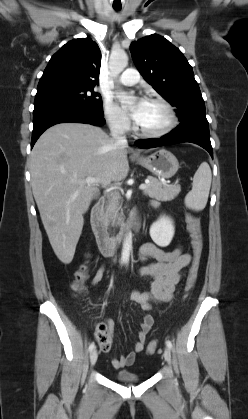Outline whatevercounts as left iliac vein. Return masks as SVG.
Masks as SVG:
<instances>
[{"mask_svg":"<svg viewBox=\"0 0 248 419\" xmlns=\"http://www.w3.org/2000/svg\"><path fill=\"white\" fill-rule=\"evenodd\" d=\"M163 356H164L165 361L170 365L171 364V352H170V349L168 347H166L164 349Z\"/></svg>","mask_w":248,"mask_h":419,"instance_id":"4c4485c4","label":"left iliac vein"}]
</instances>
